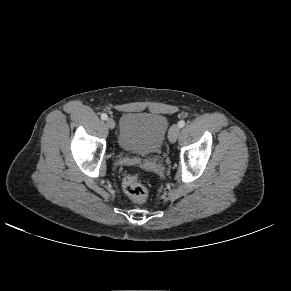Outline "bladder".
I'll use <instances>...</instances> for the list:
<instances>
[{
	"mask_svg": "<svg viewBox=\"0 0 291 291\" xmlns=\"http://www.w3.org/2000/svg\"><path fill=\"white\" fill-rule=\"evenodd\" d=\"M168 127L162 114L128 112L120 119L117 142L124 151L150 156L161 149Z\"/></svg>",
	"mask_w": 291,
	"mask_h": 291,
	"instance_id": "31cf9c89",
	"label": "bladder"
}]
</instances>
